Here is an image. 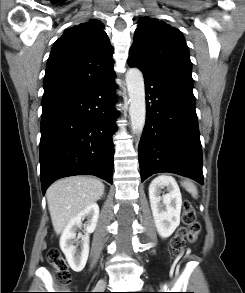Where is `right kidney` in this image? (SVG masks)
<instances>
[{
	"mask_svg": "<svg viewBox=\"0 0 245 293\" xmlns=\"http://www.w3.org/2000/svg\"><path fill=\"white\" fill-rule=\"evenodd\" d=\"M87 219L85 235L82 236V246L77 250L75 244L76 230L81 227L82 220ZM99 218V206L90 204L74 216L65 226L60 237V248L71 269L80 272L84 269L89 255V234L93 233Z\"/></svg>",
	"mask_w": 245,
	"mask_h": 293,
	"instance_id": "1",
	"label": "right kidney"
}]
</instances>
